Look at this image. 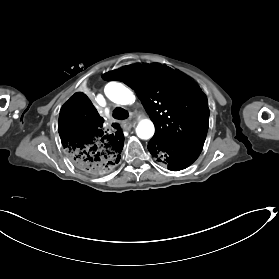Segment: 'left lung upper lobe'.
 I'll return each instance as SVG.
<instances>
[{
  "mask_svg": "<svg viewBox=\"0 0 279 279\" xmlns=\"http://www.w3.org/2000/svg\"><path fill=\"white\" fill-rule=\"evenodd\" d=\"M137 93L156 131L153 142L203 147L209 122L205 94L187 76L159 64H132L103 75Z\"/></svg>",
  "mask_w": 279,
  "mask_h": 279,
  "instance_id": "left-lung-upper-lobe-1",
  "label": "left lung upper lobe"
}]
</instances>
